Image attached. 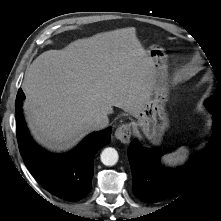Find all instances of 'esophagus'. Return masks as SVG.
Wrapping results in <instances>:
<instances>
[{"label": "esophagus", "mask_w": 221, "mask_h": 221, "mask_svg": "<svg viewBox=\"0 0 221 221\" xmlns=\"http://www.w3.org/2000/svg\"><path fill=\"white\" fill-rule=\"evenodd\" d=\"M132 136V128L130 124H123L115 131V137L122 143H129Z\"/></svg>", "instance_id": "34e87169"}]
</instances>
